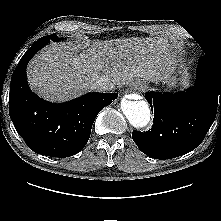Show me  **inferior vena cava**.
<instances>
[{
  "instance_id": "inferior-vena-cava-1",
  "label": "inferior vena cava",
  "mask_w": 221,
  "mask_h": 221,
  "mask_svg": "<svg viewBox=\"0 0 221 221\" xmlns=\"http://www.w3.org/2000/svg\"><path fill=\"white\" fill-rule=\"evenodd\" d=\"M114 87V83L106 77H101L90 83V89L99 92L111 91Z\"/></svg>"
}]
</instances>
